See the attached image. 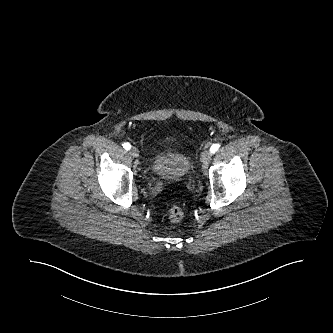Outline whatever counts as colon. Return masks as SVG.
I'll return each instance as SVG.
<instances>
[{
	"mask_svg": "<svg viewBox=\"0 0 333 333\" xmlns=\"http://www.w3.org/2000/svg\"><path fill=\"white\" fill-rule=\"evenodd\" d=\"M184 216V212L178 205H173L168 210V217L172 222L180 221Z\"/></svg>",
	"mask_w": 333,
	"mask_h": 333,
	"instance_id": "obj_1",
	"label": "colon"
}]
</instances>
